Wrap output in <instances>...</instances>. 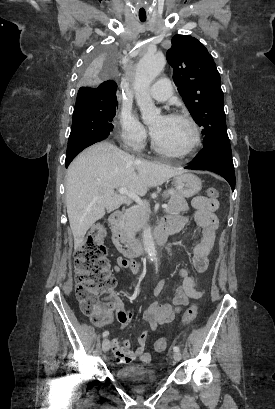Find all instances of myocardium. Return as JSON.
Masks as SVG:
<instances>
[{
  "label": "myocardium",
  "instance_id": "f54148a6",
  "mask_svg": "<svg viewBox=\"0 0 275 409\" xmlns=\"http://www.w3.org/2000/svg\"><path fill=\"white\" fill-rule=\"evenodd\" d=\"M165 117L169 118V119H174V120H181L186 122L190 129H191V133H192V138L189 142V144L181 149V150H171V149H167L163 146H161L156 139L153 136V133L151 132L150 136H151V146L153 148V150L159 154L165 155V156H170V157H182V156H186L188 154H190L199 144L200 142V131L198 128L197 123L194 121V119L192 117H190L189 115L186 114H182V113H170L167 114Z\"/></svg>",
  "mask_w": 275,
  "mask_h": 409
}]
</instances>
